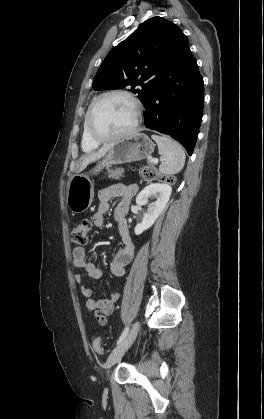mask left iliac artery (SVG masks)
Returning a JSON list of instances; mask_svg holds the SVG:
<instances>
[{
	"instance_id": "44dca946",
	"label": "left iliac artery",
	"mask_w": 264,
	"mask_h": 419,
	"mask_svg": "<svg viewBox=\"0 0 264 419\" xmlns=\"http://www.w3.org/2000/svg\"><path fill=\"white\" fill-rule=\"evenodd\" d=\"M129 332V327L127 326L124 331L122 332L121 336L119 337L118 341H117V345L126 337V335Z\"/></svg>"
}]
</instances>
